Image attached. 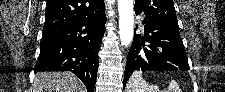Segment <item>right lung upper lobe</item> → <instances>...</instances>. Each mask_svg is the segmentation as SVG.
Instances as JSON below:
<instances>
[{
    "label": "right lung upper lobe",
    "mask_w": 225,
    "mask_h": 92,
    "mask_svg": "<svg viewBox=\"0 0 225 92\" xmlns=\"http://www.w3.org/2000/svg\"><path fill=\"white\" fill-rule=\"evenodd\" d=\"M105 10L104 0H47L44 33H52Z\"/></svg>",
    "instance_id": "obj_1"
}]
</instances>
